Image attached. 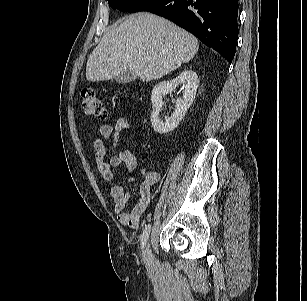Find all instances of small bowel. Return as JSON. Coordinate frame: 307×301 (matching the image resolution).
I'll return each mask as SVG.
<instances>
[{
  "instance_id": "small-bowel-1",
  "label": "small bowel",
  "mask_w": 307,
  "mask_h": 301,
  "mask_svg": "<svg viewBox=\"0 0 307 301\" xmlns=\"http://www.w3.org/2000/svg\"><path fill=\"white\" fill-rule=\"evenodd\" d=\"M129 129L130 123L126 117H119L113 125L103 124L99 130L100 137L93 139L92 146L95 150V161L101 176L113 183L110 195L114 201V211L118 221L122 225L136 228L150 202L151 189L158 181V174L147 170V168L141 170L142 181L138 187L139 198L130 210L124 211L131 198V191L124 188L113 169L123 167L126 173L133 172L138 166L137 156L130 150H124L112 155L108 161H104L106 153L117 147L121 134ZM126 181L130 186L135 182L133 178Z\"/></svg>"
}]
</instances>
